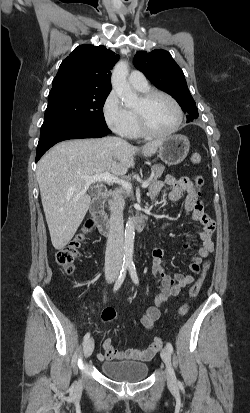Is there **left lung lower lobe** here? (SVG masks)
Returning <instances> with one entry per match:
<instances>
[{
  "instance_id": "left-lung-lower-lobe-1",
  "label": "left lung lower lobe",
  "mask_w": 250,
  "mask_h": 413,
  "mask_svg": "<svg viewBox=\"0 0 250 413\" xmlns=\"http://www.w3.org/2000/svg\"><path fill=\"white\" fill-rule=\"evenodd\" d=\"M195 119H197V117H196V118H188V119H187V122H191V121H193V120H195Z\"/></svg>"
}]
</instances>
